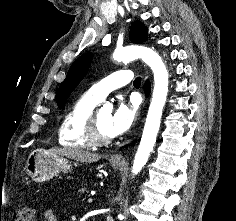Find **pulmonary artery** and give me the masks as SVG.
Returning <instances> with one entry per match:
<instances>
[{"mask_svg": "<svg viewBox=\"0 0 236 221\" xmlns=\"http://www.w3.org/2000/svg\"><path fill=\"white\" fill-rule=\"evenodd\" d=\"M133 75L130 70H118L92 85L87 94L96 101H102L111 91L130 82Z\"/></svg>", "mask_w": 236, "mask_h": 221, "instance_id": "obj_1", "label": "pulmonary artery"}]
</instances>
